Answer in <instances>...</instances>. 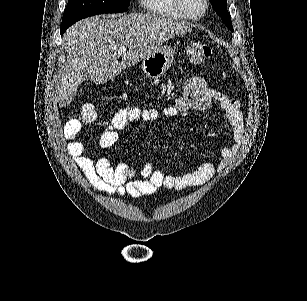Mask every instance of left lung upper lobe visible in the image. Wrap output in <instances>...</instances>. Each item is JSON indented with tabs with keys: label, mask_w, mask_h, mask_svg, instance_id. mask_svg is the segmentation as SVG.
Returning <instances> with one entry per match:
<instances>
[{
	"label": "left lung upper lobe",
	"mask_w": 307,
	"mask_h": 301,
	"mask_svg": "<svg viewBox=\"0 0 307 301\" xmlns=\"http://www.w3.org/2000/svg\"><path fill=\"white\" fill-rule=\"evenodd\" d=\"M215 12L221 16L223 23L233 32L230 13L227 10V0H209Z\"/></svg>",
	"instance_id": "left-lung-upper-lobe-1"
}]
</instances>
